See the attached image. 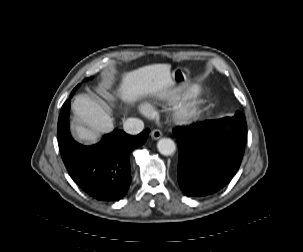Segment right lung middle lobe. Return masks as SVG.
<instances>
[{"instance_id":"dd1d6c3e","label":"right lung middle lobe","mask_w":303,"mask_h":252,"mask_svg":"<svg viewBox=\"0 0 303 252\" xmlns=\"http://www.w3.org/2000/svg\"><path fill=\"white\" fill-rule=\"evenodd\" d=\"M78 88V86L74 89V91Z\"/></svg>"}]
</instances>
